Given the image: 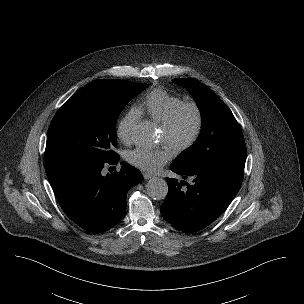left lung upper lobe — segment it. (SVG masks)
<instances>
[{
  "mask_svg": "<svg viewBox=\"0 0 304 304\" xmlns=\"http://www.w3.org/2000/svg\"><path fill=\"white\" fill-rule=\"evenodd\" d=\"M186 87L199 106L202 130L196 142L175 161L185 170L232 167L244 170L246 145L241 128L226 104L196 79H173Z\"/></svg>",
  "mask_w": 304,
  "mask_h": 304,
  "instance_id": "1",
  "label": "left lung upper lobe"
}]
</instances>
